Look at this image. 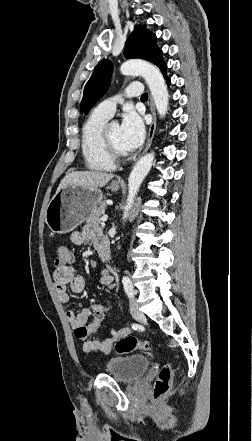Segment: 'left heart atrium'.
Segmentation results:
<instances>
[{"label": "left heart atrium", "instance_id": "obj_1", "mask_svg": "<svg viewBox=\"0 0 252 441\" xmlns=\"http://www.w3.org/2000/svg\"><path fill=\"white\" fill-rule=\"evenodd\" d=\"M144 138L142 118L132 108L126 109L120 126V146L123 152H133L143 143Z\"/></svg>", "mask_w": 252, "mask_h": 441}]
</instances>
